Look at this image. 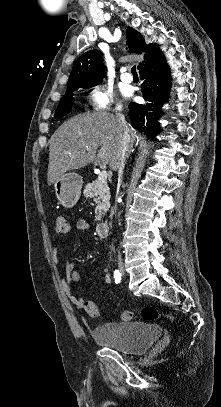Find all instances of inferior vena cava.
<instances>
[{"label":"inferior vena cava","instance_id":"inferior-vena-cava-1","mask_svg":"<svg viewBox=\"0 0 221 407\" xmlns=\"http://www.w3.org/2000/svg\"><path fill=\"white\" fill-rule=\"evenodd\" d=\"M117 111H118V113H116V115H117L118 121L121 123V125L123 127V136H122V140H121V145H122L121 156H120V159L116 166V171L118 172V180L120 181L122 178V175H123L125 161L131 150V138H130L129 129H128L126 121H125V117L121 113V111H122L121 105L117 106ZM118 261L119 262L122 261L120 251L118 252Z\"/></svg>","mask_w":221,"mask_h":407}]
</instances>
